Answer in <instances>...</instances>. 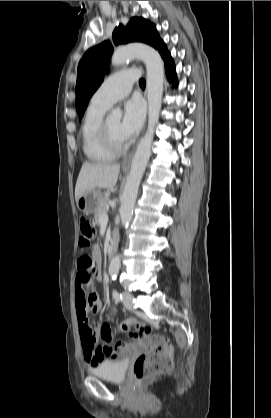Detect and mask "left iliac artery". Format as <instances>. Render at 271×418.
Wrapping results in <instances>:
<instances>
[{"instance_id":"obj_1","label":"left iliac artery","mask_w":271,"mask_h":418,"mask_svg":"<svg viewBox=\"0 0 271 418\" xmlns=\"http://www.w3.org/2000/svg\"><path fill=\"white\" fill-rule=\"evenodd\" d=\"M112 295L115 301L119 302L122 300V295L117 290L113 289Z\"/></svg>"}]
</instances>
